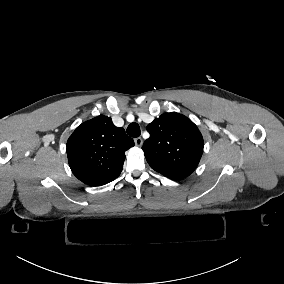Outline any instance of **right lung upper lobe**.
<instances>
[{"mask_svg":"<svg viewBox=\"0 0 284 284\" xmlns=\"http://www.w3.org/2000/svg\"><path fill=\"white\" fill-rule=\"evenodd\" d=\"M134 146L125 130L111 118L99 115L79 125L67 141L68 163L73 174L89 186L116 179L123 168L125 151Z\"/></svg>","mask_w":284,"mask_h":284,"instance_id":"1","label":"right lung upper lobe"}]
</instances>
